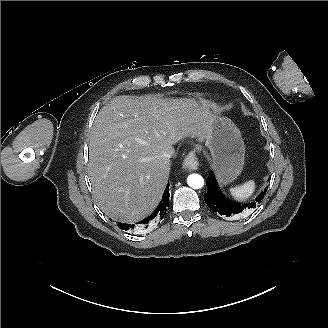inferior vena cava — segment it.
I'll use <instances>...</instances> for the list:
<instances>
[{"instance_id": "inferior-vena-cava-1", "label": "inferior vena cava", "mask_w": 328, "mask_h": 328, "mask_svg": "<svg viewBox=\"0 0 328 328\" xmlns=\"http://www.w3.org/2000/svg\"><path fill=\"white\" fill-rule=\"evenodd\" d=\"M164 157L170 159L172 157V155L171 154H164Z\"/></svg>"}]
</instances>
